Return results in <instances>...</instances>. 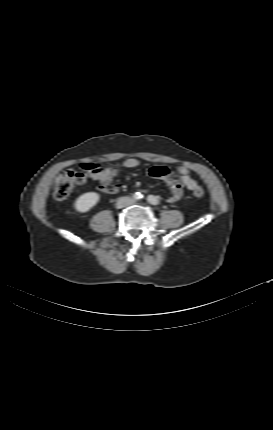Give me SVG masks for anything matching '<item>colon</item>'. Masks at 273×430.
<instances>
[{
  "label": "colon",
  "mask_w": 273,
  "mask_h": 430,
  "mask_svg": "<svg viewBox=\"0 0 273 430\" xmlns=\"http://www.w3.org/2000/svg\"><path fill=\"white\" fill-rule=\"evenodd\" d=\"M86 177L87 173L74 170L61 173L54 180V197L59 201L65 200L75 188L85 183ZM204 193V189L200 186L193 190V195L196 198L203 197Z\"/></svg>",
  "instance_id": "1"
}]
</instances>
